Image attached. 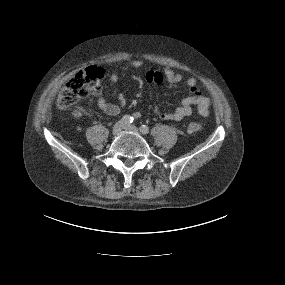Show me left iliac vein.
Wrapping results in <instances>:
<instances>
[{
    "label": "left iliac vein",
    "mask_w": 285,
    "mask_h": 285,
    "mask_svg": "<svg viewBox=\"0 0 285 285\" xmlns=\"http://www.w3.org/2000/svg\"><path fill=\"white\" fill-rule=\"evenodd\" d=\"M124 129H125L126 131L138 132L137 127H135L134 125H130V124H126V125L124 126Z\"/></svg>",
    "instance_id": "1"
}]
</instances>
